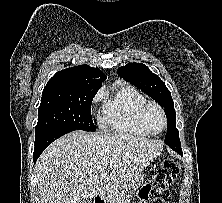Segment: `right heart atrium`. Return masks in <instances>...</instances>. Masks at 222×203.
I'll return each instance as SVG.
<instances>
[{
  "instance_id": "d8ad5b80",
  "label": "right heart atrium",
  "mask_w": 222,
  "mask_h": 203,
  "mask_svg": "<svg viewBox=\"0 0 222 203\" xmlns=\"http://www.w3.org/2000/svg\"><path fill=\"white\" fill-rule=\"evenodd\" d=\"M101 97H102V94L100 93V94H98L96 97H95V102H97V101H99L100 99H101Z\"/></svg>"
}]
</instances>
